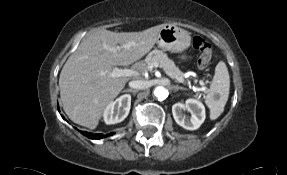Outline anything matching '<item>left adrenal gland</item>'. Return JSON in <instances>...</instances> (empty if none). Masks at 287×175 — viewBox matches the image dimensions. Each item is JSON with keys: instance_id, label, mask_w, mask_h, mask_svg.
<instances>
[{"instance_id": "obj_1", "label": "left adrenal gland", "mask_w": 287, "mask_h": 175, "mask_svg": "<svg viewBox=\"0 0 287 175\" xmlns=\"http://www.w3.org/2000/svg\"><path fill=\"white\" fill-rule=\"evenodd\" d=\"M171 88H172L174 91L183 90V88L180 87V86H172Z\"/></svg>"}]
</instances>
